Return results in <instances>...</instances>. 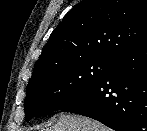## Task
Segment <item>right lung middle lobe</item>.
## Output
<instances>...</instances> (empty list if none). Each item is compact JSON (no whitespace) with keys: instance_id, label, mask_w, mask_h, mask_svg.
<instances>
[{"instance_id":"1","label":"right lung middle lobe","mask_w":147,"mask_h":131,"mask_svg":"<svg viewBox=\"0 0 147 131\" xmlns=\"http://www.w3.org/2000/svg\"><path fill=\"white\" fill-rule=\"evenodd\" d=\"M115 60L89 58L70 62L32 76L24 102L25 120L35 114L61 110L92 89Z\"/></svg>"}]
</instances>
